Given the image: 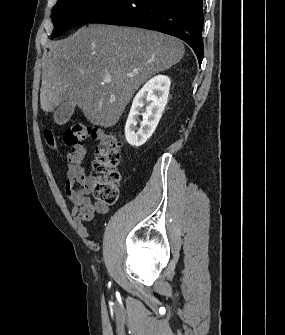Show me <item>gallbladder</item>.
Wrapping results in <instances>:
<instances>
[{"label": "gallbladder", "instance_id": "1", "mask_svg": "<svg viewBox=\"0 0 285 335\" xmlns=\"http://www.w3.org/2000/svg\"><path fill=\"white\" fill-rule=\"evenodd\" d=\"M76 102H65L62 104L58 110H56L54 114V122L62 126V124H66L68 120H70L73 112H75Z\"/></svg>", "mask_w": 285, "mask_h": 335}]
</instances>
